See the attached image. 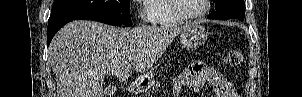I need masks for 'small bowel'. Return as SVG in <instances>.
Listing matches in <instances>:
<instances>
[{
  "instance_id": "obj_1",
  "label": "small bowel",
  "mask_w": 302,
  "mask_h": 97,
  "mask_svg": "<svg viewBox=\"0 0 302 97\" xmlns=\"http://www.w3.org/2000/svg\"><path fill=\"white\" fill-rule=\"evenodd\" d=\"M205 82L212 84L215 97H236V91L228 79L219 71L203 63H193L173 81V96L178 97L184 89L199 92Z\"/></svg>"
}]
</instances>
